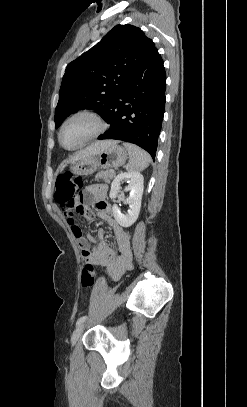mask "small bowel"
Instances as JSON below:
<instances>
[{"label":"small bowel","instance_id":"small-bowel-1","mask_svg":"<svg viewBox=\"0 0 247 407\" xmlns=\"http://www.w3.org/2000/svg\"><path fill=\"white\" fill-rule=\"evenodd\" d=\"M86 194L88 200L92 199L96 203L95 213L85 204L84 200L80 201L78 198L60 203V209L81 248L83 260L86 263L105 267L110 277L118 280L125 271L132 267L130 236L112 215L111 205L106 200L107 188L105 185L90 186L87 188ZM76 213L86 219H92L96 214L112 228L117 251L106 242L103 230H99L97 237L91 235L84 237ZM92 243L96 244V248L91 247Z\"/></svg>","mask_w":247,"mask_h":407}]
</instances>
